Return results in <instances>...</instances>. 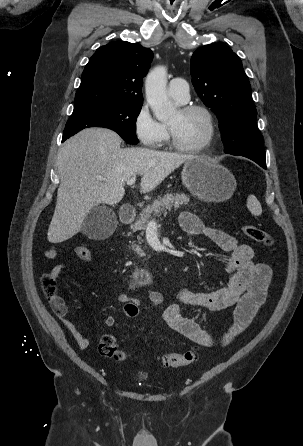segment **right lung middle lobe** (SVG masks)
<instances>
[{
    "mask_svg": "<svg viewBox=\"0 0 303 446\" xmlns=\"http://www.w3.org/2000/svg\"><path fill=\"white\" fill-rule=\"evenodd\" d=\"M142 105L102 102L75 107L66 123L63 141L88 127H104L117 132L126 142L137 144L136 118Z\"/></svg>",
    "mask_w": 303,
    "mask_h": 446,
    "instance_id": "dd1d6c3e",
    "label": "right lung middle lobe"
}]
</instances>
